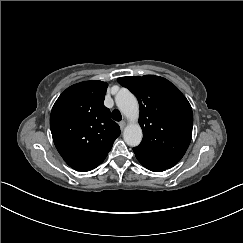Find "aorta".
Instances as JSON below:
<instances>
[{
	"mask_svg": "<svg viewBox=\"0 0 243 243\" xmlns=\"http://www.w3.org/2000/svg\"><path fill=\"white\" fill-rule=\"evenodd\" d=\"M115 102L119 110L129 121L123 131L125 143L131 147L138 146L143 134L140 125L137 123L139 105L136 97L128 89L122 88L116 94Z\"/></svg>",
	"mask_w": 243,
	"mask_h": 243,
	"instance_id": "1",
	"label": "aorta"
}]
</instances>
